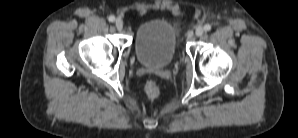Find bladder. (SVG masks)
I'll use <instances>...</instances> for the list:
<instances>
[{
    "label": "bladder",
    "mask_w": 298,
    "mask_h": 138,
    "mask_svg": "<svg viewBox=\"0 0 298 138\" xmlns=\"http://www.w3.org/2000/svg\"><path fill=\"white\" fill-rule=\"evenodd\" d=\"M178 31L167 19H150L142 23L134 36V51L139 63L163 68L175 57Z\"/></svg>",
    "instance_id": "bladder-1"
}]
</instances>
